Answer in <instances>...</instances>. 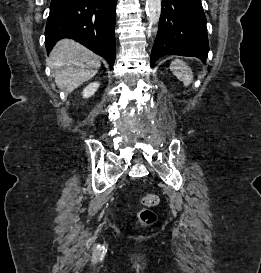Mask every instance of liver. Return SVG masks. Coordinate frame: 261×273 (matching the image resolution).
Returning a JSON list of instances; mask_svg holds the SVG:
<instances>
[{"label": "liver", "instance_id": "6515ba94", "mask_svg": "<svg viewBox=\"0 0 261 273\" xmlns=\"http://www.w3.org/2000/svg\"><path fill=\"white\" fill-rule=\"evenodd\" d=\"M47 64L56 73L58 88L67 93L93 78L101 66L99 56L69 39L57 42Z\"/></svg>", "mask_w": 261, "mask_h": 273}]
</instances>
